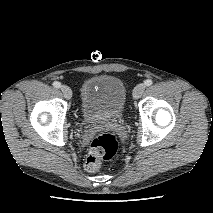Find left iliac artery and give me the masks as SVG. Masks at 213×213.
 Instances as JSON below:
<instances>
[{
  "label": "left iliac artery",
  "mask_w": 213,
  "mask_h": 213,
  "mask_svg": "<svg viewBox=\"0 0 213 213\" xmlns=\"http://www.w3.org/2000/svg\"><path fill=\"white\" fill-rule=\"evenodd\" d=\"M144 83L146 86H151L153 84V81L151 79H147Z\"/></svg>",
  "instance_id": "obj_1"
}]
</instances>
